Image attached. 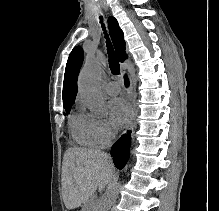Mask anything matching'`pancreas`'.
I'll return each mask as SVG.
<instances>
[{
	"label": "pancreas",
	"mask_w": 219,
	"mask_h": 211,
	"mask_svg": "<svg viewBox=\"0 0 219 211\" xmlns=\"http://www.w3.org/2000/svg\"><path fill=\"white\" fill-rule=\"evenodd\" d=\"M100 207L94 200H85V211H99Z\"/></svg>",
	"instance_id": "cf45deb5"
}]
</instances>
